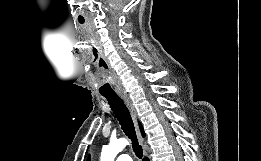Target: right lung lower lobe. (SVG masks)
I'll use <instances>...</instances> for the list:
<instances>
[{
    "label": "right lung lower lobe",
    "instance_id": "obj_1",
    "mask_svg": "<svg viewBox=\"0 0 261 161\" xmlns=\"http://www.w3.org/2000/svg\"><path fill=\"white\" fill-rule=\"evenodd\" d=\"M143 161H149L147 158L143 159Z\"/></svg>",
    "mask_w": 261,
    "mask_h": 161
}]
</instances>
